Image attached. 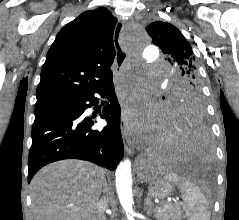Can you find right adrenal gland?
Returning a JSON list of instances; mask_svg holds the SVG:
<instances>
[{"instance_id": "right-adrenal-gland-1", "label": "right adrenal gland", "mask_w": 239, "mask_h": 220, "mask_svg": "<svg viewBox=\"0 0 239 220\" xmlns=\"http://www.w3.org/2000/svg\"><path fill=\"white\" fill-rule=\"evenodd\" d=\"M104 191H107V186L105 185V187H104Z\"/></svg>"}]
</instances>
